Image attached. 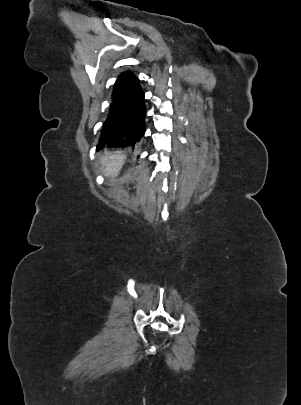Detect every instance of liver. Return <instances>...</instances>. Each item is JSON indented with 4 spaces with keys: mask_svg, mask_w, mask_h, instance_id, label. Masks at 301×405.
<instances>
[{
    "mask_svg": "<svg viewBox=\"0 0 301 405\" xmlns=\"http://www.w3.org/2000/svg\"><path fill=\"white\" fill-rule=\"evenodd\" d=\"M125 155L121 151L115 153H108L102 160V164L105 167L104 174L107 177H115L119 174Z\"/></svg>",
    "mask_w": 301,
    "mask_h": 405,
    "instance_id": "6515ba94",
    "label": "liver"
}]
</instances>
